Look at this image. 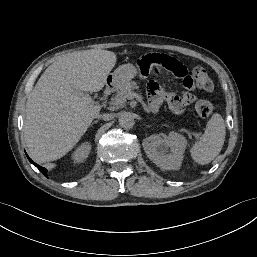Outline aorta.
Returning <instances> with one entry per match:
<instances>
[{"label": "aorta", "instance_id": "762f6f07", "mask_svg": "<svg viewBox=\"0 0 257 257\" xmlns=\"http://www.w3.org/2000/svg\"><path fill=\"white\" fill-rule=\"evenodd\" d=\"M118 123L124 129H130L134 125V118L129 112H122L119 116Z\"/></svg>", "mask_w": 257, "mask_h": 257}]
</instances>
